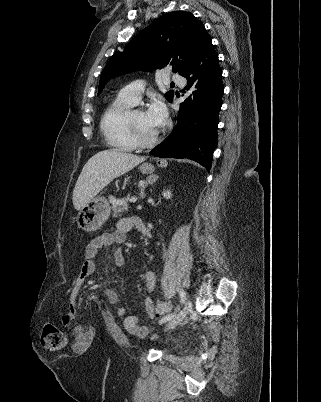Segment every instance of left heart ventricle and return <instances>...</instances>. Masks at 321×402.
<instances>
[{
	"instance_id": "1",
	"label": "left heart ventricle",
	"mask_w": 321,
	"mask_h": 402,
	"mask_svg": "<svg viewBox=\"0 0 321 402\" xmlns=\"http://www.w3.org/2000/svg\"><path fill=\"white\" fill-rule=\"evenodd\" d=\"M132 120L138 133L145 139L153 137L159 128L153 127L146 119L145 112L136 110L132 113Z\"/></svg>"
}]
</instances>
